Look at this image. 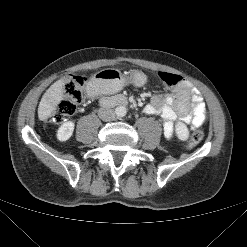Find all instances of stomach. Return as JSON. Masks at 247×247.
Masks as SVG:
<instances>
[{
	"label": "stomach",
	"instance_id": "1",
	"mask_svg": "<svg viewBox=\"0 0 247 247\" xmlns=\"http://www.w3.org/2000/svg\"><path fill=\"white\" fill-rule=\"evenodd\" d=\"M146 81V76L140 71H134L130 77H124L117 70L105 69L93 75L89 86L98 93H103L119 90L128 83L140 87L143 86Z\"/></svg>",
	"mask_w": 247,
	"mask_h": 247
}]
</instances>
